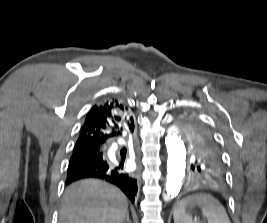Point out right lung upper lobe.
I'll use <instances>...</instances> for the list:
<instances>
[{"label": "right lung upper lobe", "instance_id": "obj_1", "mask_svg": "<svg viewBox=\"0 0 267 223\" xmlns=\"http://www.w3.org/2000/svg\"><path fill=\"white\" fill-rule=\"evenodd\" d=\"M135 128L130 108L110 98L94 105L88 112L74 149L98 151L113 139L129 134Z\"/></svg>", "mask_w": 267, "mask_h": 223}]
</instances>
